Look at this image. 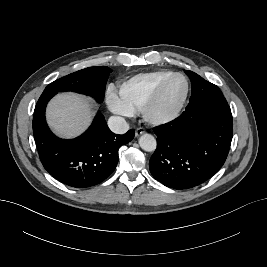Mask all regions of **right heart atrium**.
Here are the masks:
<instances>
[{"label":"right heart atrium","mask_w":267,"mask_h":267,"mask_svg":"<svg viewBox=\"0 0 267 267\" xmlns=\"http://www.w3.org/2000/svg\"><path fill=\"white\" fill-rule=\"evenodd\" d=\"M106 104L111 112L120 116H130L133 111L127 107L113 88L106 93Z\"/></svg>","instance_id":"right-heart-atrium-1"}]
</instances>
